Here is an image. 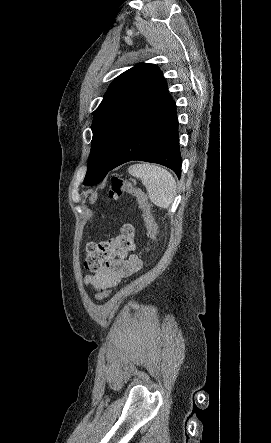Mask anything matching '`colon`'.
I'll list each match as a JSON object with an SVG mask.
<instances>
[{
    "label": "colon",
    "instance_id": "colon-1",
    "mask_svg": "<svg viewBox=\"0 0 271 443\" xmlns=\"http://www.w3.org/2000/svg\"><path fill=\"white\" fill-rule=\"evenodd\" d=\"M123 196L132 197L136 200L141 211L142 219L146 228V234L150 241L155 239L156 225L150 212V205L145 194L135 187L130 181L113 177L109 187V198L117 199ZM135 233L131 224L125 223L120 233L104 242H90L86 245L84 267L90 272L99 271L103 265L113 259L124 257L134 249ZM111 293L110 289H102L96 295V300L102 301Z\"/></svg>",
    "mask_w": 271,
    "mask_h": 443
}]
</instances>
